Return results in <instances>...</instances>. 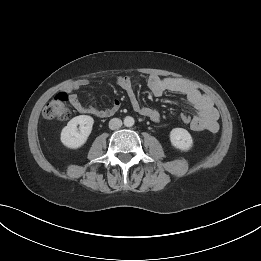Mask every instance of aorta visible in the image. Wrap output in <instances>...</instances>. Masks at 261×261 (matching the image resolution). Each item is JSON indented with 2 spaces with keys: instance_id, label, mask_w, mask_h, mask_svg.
<instances>
[{
  "instance_id": "762f6f07",
  "label": "aorta",
  "mask_w": 261,
  "mask_h": 261,
  "mask_svg": "<svg viewBox=\"0 0 261 261\" xmlns=\"http://www.w3.org/2000/svg\"><path fill=\"white\" fill-rule=\"evenodd\" d=\"M134 118L133 117H131V116H126L125 118H124V125L126 126V127H132L133 125H134Z\"/></svg>"
}]
</instances>
